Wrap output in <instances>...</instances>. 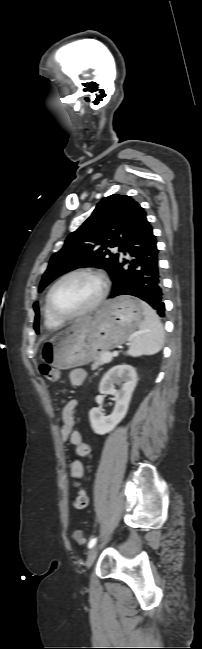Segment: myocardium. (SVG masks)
Segmentation results:
<instances>
[{"label": "myocardium", "instance_id": "1", "mask_svg": "<svg viewBox=\"0 0 202 649\" xmlns=\"http://www.w3.org/2000/svg\"><path fill=\"white\" fill-rule=\"evenodd\" d=\"M79 274L89 275V276H92L95 279H97V281L100 284L99 295L97 296L95 301L92 304H90L87 308H85V309H83V310H81L79 312L73 313V314H62L53 305V302H52L53 293H54L56 287L62 281H64L65 279H67V278H69L71 276L79 275ZM109 287H110V285H109L108 277L106 276V274L103 271H101L99 269L91 268V267H81V268H76V269L70 270V271L64 273L63 275H61L52 284V286L50 287V289H49V291L47 293V296H46V304H47L48 311L55 319H57L59 321H62V322L71 321V320H75L77 318L83 317V316L88 315V314L92 313L93 311H95L103 303V301L106 299V297H107V295L109 293Z\"/></svg>", "mask_w": 202, "mask_h": 649}]
</instances>
